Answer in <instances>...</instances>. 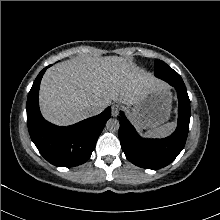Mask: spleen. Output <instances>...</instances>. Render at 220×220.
Listing matches in <instances>:
<instances>
[{
  "instance_id": "3e777b00",
  "label": "spleen",
  "mask_w": 220,
  "mask_h": 220,
  "mask_svg": "<svg viewBox=\"0 0 220 220\" xmlns=\"http://www.w3.org/2000/svg\"><path fill=\"white\" fill-rule=\"evenodd\" d=\"M174 127H175L174 122L167 123V124H164L160 127L149 130L147 132V135L156 136V137H164V136L170 134L173 131Z\"/></svg>"
}]
</instances>
